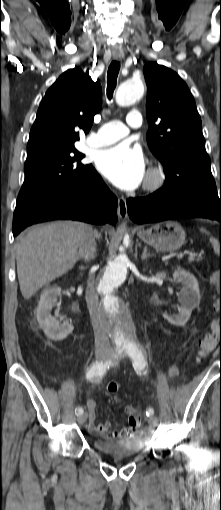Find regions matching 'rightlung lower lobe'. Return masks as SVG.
<instances>
[{
  "mask_svg": "<svg viewBox=\"0 0 221 510\" xmlns=\"http://www.w3.org/2000/svg\"><path fill=\"white\" fill-rule=\"evenodd\" d=\"M117 205L115 195L91 167L79 182L43 199L23 219L13 217V235L32 224L57 219L114 225Z\"/></svg>",
  "mask_w": 221,
  "mask_h": 510,
  "instance_id": "right-lung-lower-lobe-1",
  "label": "right lung lower lobe"
}]
</instances>
